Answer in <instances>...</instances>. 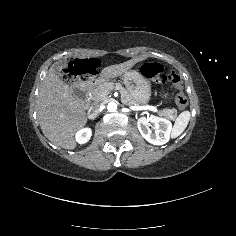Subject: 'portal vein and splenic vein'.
I'll list each match as a JSON object with an SVG mask.
<instances>
[{
    "label": "portal vein and splenic vein",
    "mask_w": 236,
    "mask_h": 236,
    "mask_svg": "<svg viewBox=\"0 0 236 236\" xmlns=\"http://www.w3.org/2000/svg\"><path fill=\"white\" fill-rule=\"evenodd\" d=\"M150 110V111H153V112H157V108L155 106H150V105H147V106H131L130 107V110L131 111H134V110Z\"/></svg>",
    "instance_id": "obj_1"
}]
</instances>
